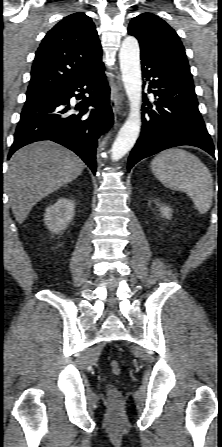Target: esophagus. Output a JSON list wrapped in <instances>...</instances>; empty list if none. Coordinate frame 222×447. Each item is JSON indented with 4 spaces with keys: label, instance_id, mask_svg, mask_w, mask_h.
<instances>
[{
    "label": "esophagus",
    "instance_id": "obj_1",
    "mask_svg": "<svg viewBox=\"0 0 222 447\" xmlns=\"http://www.w3.org/2000/svg\"><path fill=\"white\" fill-rule=\"evenodd\" d=\"M123 96L119 91L112 90L110 105L115 114L120 113V108L122 107Z\"/></svg>",
    "mask_w": 222,
    "mask_h": 447
}]
</instances>
